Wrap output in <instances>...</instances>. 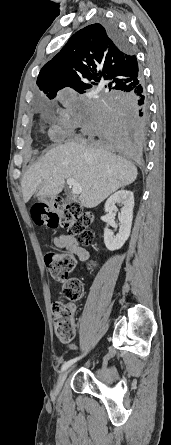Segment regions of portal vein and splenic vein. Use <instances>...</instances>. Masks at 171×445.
I'll use <instances>...</instances> for the list:
<instances>
[{"instance_id": "18ae733b", "label": "portal vein and splenic vein", "mask_w": 171, "mask_h": 445, "mask_svg": "<svg viewBox=\"0 0 171 445\" xmlns=\"http://www.w3.org/2000/svg\"><path fill=\"white\" fill-rule=\"evenodd\" d=\"M67 184L69 185V187L72 188L73 194H75V195L81 194V192H82L81 186L75 181V179L68 178Z\"/></svg>"}]
</instances>
